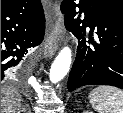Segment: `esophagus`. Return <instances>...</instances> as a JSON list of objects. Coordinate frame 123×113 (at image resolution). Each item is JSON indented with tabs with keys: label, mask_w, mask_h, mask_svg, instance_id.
Segmentation results:
<instances>
[{
	"label": "esophagus",
	"mask_w": 123,
	"mask_h": 113,
	"mask_svg": "<svg viewBox=\"0 0 123 113\" xmlns=\"http://www.w3.org/2000/svg\"><path fill=\"white\" fill-rule=\"evenodd\" d=\"M53 10H54L53 20L48 27L44 41L45 57H52L56 53L64 32L63 15L58 3H55L53 5Z\"/></svg>",
	"instance_id": "34e87169"
}]
</instances>
